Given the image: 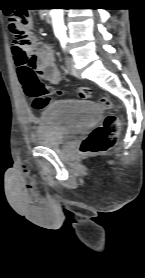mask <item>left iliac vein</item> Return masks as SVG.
Wrapping results in <instances>:
<instances>
[{
	"mask_svg": "<svg viewBox=\"0 0 145 278\" xmlns=\"http://www.w3.org/2000/svg\"><path fill=\"white\" fill-rule=\"evenodd\" d=\"M66 68L71 75H76V68L74 62L70 57L66 58Z\"/></svg>",
	"mask_w": 145,
	"mask_h": 278,
	"instance_id": "4c4485c4",
	"label": "left iliac vein"
}]
</instances>
